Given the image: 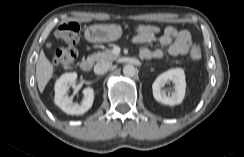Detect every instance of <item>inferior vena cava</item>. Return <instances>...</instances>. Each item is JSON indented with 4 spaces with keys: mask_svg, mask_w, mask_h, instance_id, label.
Segmentation results:
<instances>
[{
    "mask_svg": "<svg viewBox=\"0 0 244 157\" xmlns=\"http://www.w3.org/2000/svg\"><path fill=\"white\" fill-rule=\"evenodd\" d=\"M112 66V63L110 61H101L98 62L95 66H94V72L96 74H104L105 72H107Z\"/></svg>",
    "mask_w": 244,
    "mask_h": 157,
    "instance_id": "602c4592",
    "label": "inferior vena cava"
}]
</instances>
